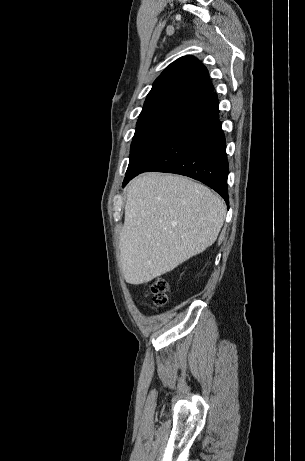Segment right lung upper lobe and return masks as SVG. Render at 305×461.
Wrapping results in <instances>:
<instances>
[{
    "label": "right lung upper lobe",
    "instance_id": "obj_1",
    "mask_svg": "<svg viewBox=\"0 0 305 461\" xmlns=\"http://www.w3.org/2000/svg\"><path fill=\"white\" fill-rule=\"evenodd\" d=\"M206 67L193 56L170 64L155 80L144 108L179 105L190 108L213 94Z\"/></svg>",
    "mask_w": 305,
    "mask_h": 461
}]
</instances>
